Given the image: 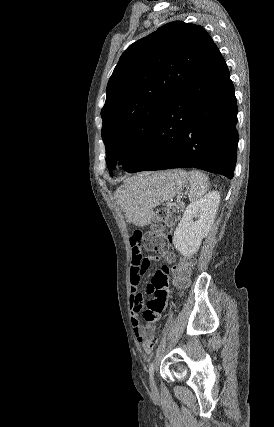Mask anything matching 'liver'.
I'll return each mask as SVG.
<instances>
[{"label": "liver", "mask_w": 274, "mask_h": 427, "mask_svg": "<svg viewBox=\"0 0 274 427\" xmlns=\"http://www.w3.org/2000/svg\"><path fill=\"white\" fill-rule=\"evenodd\" d=\"M123 180H124V178H123ZM132 180H133V178H132ZM132 180H126V184H127V182H132ZM116 196H117V198H118V202H119V204H120L121 208H123V210H124V212H125V206H123V204H122V202H121V200H120V198H122V196H120V194H119V188H118V190H117V194H116Z\"/></svg>", "instance_id": "obj_1"}]
</instances>
